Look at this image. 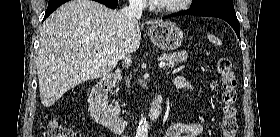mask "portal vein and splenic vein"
<instances>
[{
    "label": "portal vein and splenic vein",
    "instance_id": "obj_1",
    "mask_svg": "<svg viewBox=\"0 0 280 137\" xmlns=\"http://www.w3.org/2000/svg\"><path fill=\"white\" fill-rule=\"evenodd\" d=\"M165 65H166L165 62H160V63H159V67H164Z\"/></svg>",
    "mask_w": 280,
    "mask_h": 137
}]
</instances>
